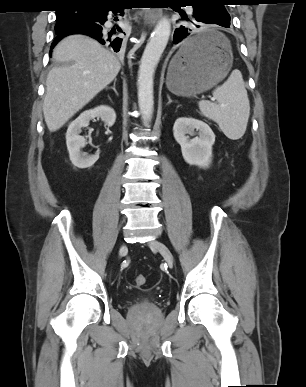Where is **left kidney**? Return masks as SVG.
<instances>
[{"label": "left kidney", "mask_w": 306, "mask_h": 387, "mask_svg": "<svg viewBox=\"0 0 306 387\" xmlns=\"http://www.w3.org/2000/svg\"><path fill=\"white\" fill-rule=\"evenodd\" d=\"M195 129L199 136L190 139L195 135ZM173 135L186 163L202 168L210 165L215 135L208 124L191 117H180L174 123Z\"/></svg>", "instance_id": "obj_1"}]
</instances>
